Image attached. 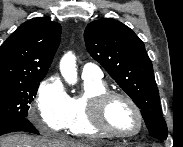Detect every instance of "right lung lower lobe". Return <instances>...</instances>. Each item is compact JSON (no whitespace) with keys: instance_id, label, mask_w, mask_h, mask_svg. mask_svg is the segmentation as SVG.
Returning a JSON list of instances; mask_svg holds the SVG:
<instances>
[{"instance_id":"obj_1","label":"right lung lower lobe","mask_w":183,"mask_h":147,"mask_svg":"<svg viewBox=\"0 0 183 147\" xmlns=\"http://www.w3.org/2000/svg\"><path fill=\"white\" fill-rule=\"evenodd\" d=\"M16 131H25L39 134L36 128L28 121L27 118H12L0 121V135Z\"/></svg>"}]
</instances>
